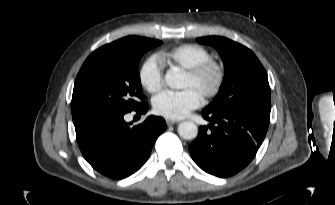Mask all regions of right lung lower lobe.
I'll return each mask as SVG.
<instances>
[{
    "label": "right lung lower lobe",
    "instance_id": "98d812e1",
    "mask_svg": "<svg viewBox=\"0 0 335 205\" xmlns=\"http://www.w3.org/2000/svg\"><path fill=\"white\" fill-rule=\"evenodd\" d=\"M144 103L134 110L145 114ZM124 114L93 115L73 120L79 148L90 165L103 175L122 179L136 172L148 159L157 137L165 130L161 117L149 116L129 126Z\"/></svg>",
    "mask_w": 335,
    "mask_h": 205
}]
</instances>
